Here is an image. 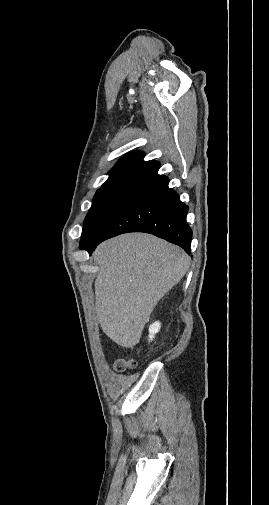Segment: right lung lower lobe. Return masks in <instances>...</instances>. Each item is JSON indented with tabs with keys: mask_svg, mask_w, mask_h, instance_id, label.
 <instances>
[{
	"mask_svg": "<svg viewBox=\"0 0 269 505\" xmlns=\"http://www.w3.org/2000/svg\"><path fill=\"white\" fill-rule=\"evenodd\" d=\"M159 175L138 190L115 214L98 238L82 247L90 255L102 241L128 232H145L163 238L190 253L192 231L186 221L188 206Z\"/></svg>",
	"mask_w": 269,
	"mask_h": 505,
	"instance_id": "obj_1",
	"label": "right lung lower lobe"
}]
</instances>
